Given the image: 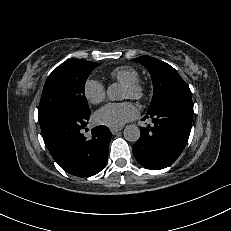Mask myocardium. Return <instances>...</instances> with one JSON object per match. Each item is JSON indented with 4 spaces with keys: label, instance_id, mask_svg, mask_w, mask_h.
Instances as JSON below:
<instances>
[{
    "label": "myocardium",
    "instance_id": "1",
    "mask_svg": "<svg viewBox=\"0 0 231 231\" xmlns=\"http://www.w3.org/2000/svg\"><path fill=\"white\" fill-rule=\"evenodd\" d=\"M125 87L128 88V90L130 91L131 99L139 101L144 98L146 88L141 82L136 81V82L128 83L125 84Z\"/></svg>",
    "mask_w": 231,
    "mask_h": 231
}]
</instances>
